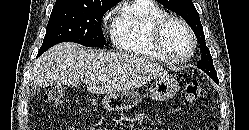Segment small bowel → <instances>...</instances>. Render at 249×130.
<instances>
[{
  "label": "small bowel",
  "instance_id": "c3829d8e",
  "mask_svg": "<svg viewBox=\"0 0 249 130\" xmlns=\"http://www.w3.org/2000/svg\"><path fill=\"white\" fill-rule=\"evenodd\" d=\"M68 130H78V129L74 127H70Z\"/></svg>",
  "mask_w": 249,
  "mask_h": 130
}]
</instances>
